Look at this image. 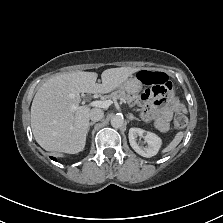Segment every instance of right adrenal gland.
<instances>
[{"instance_id":"right-adrenal-gland-1","label":"right adrenal gland","mask_w":223,"mask_h":223,"mask_svg":"<svg viewBox=\"0 0 223 223\" xmlns=\"http://www.w3.org/2000/svg\"><path fill=\"white\" fill-rule=\"evenodd\" d=\"M95 123H96L95 121L89 123V125H88V131L90 130V126L94 125Z\"/></svg>"}]
</instances>
